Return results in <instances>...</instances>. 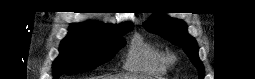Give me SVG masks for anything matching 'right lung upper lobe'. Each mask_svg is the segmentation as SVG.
<instances>
[{
  "mask_svg": "<svg viewBox=\"0 0 255 79\" xmlns=\"http://www.w3.org/2000/svg\"><path fill=\"white\" fill-rule=\"evenodd\" d=\"M132 26L131 23H125L120 25L103 24L97 22H87V23H75L70 26V33H81L95 36H103L108 38H115L118 36L119 32L126 28Z\"/></svg>",
  "mask_w": 255,
  "mask_h": 79,
  "instance_id": "right-lung-upper-lobe-1",
  "label": "right lung upper lobe"
}]
</instances>
